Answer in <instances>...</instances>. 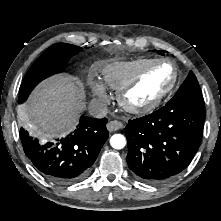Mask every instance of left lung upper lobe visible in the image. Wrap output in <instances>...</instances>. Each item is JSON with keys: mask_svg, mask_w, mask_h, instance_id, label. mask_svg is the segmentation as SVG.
I'll list each match as a JSON object with an SVG mask.
<instances>
[{"mask_svg": "<svg viewBox=\"0 0 221 221\" xmlns=\"http://www.w3.org/2000/svg\"><path fill=\"white\" fill-rule=\"evenodd\" d=\"M175 108H193L205 111L204 99L197 78L192 71L169 102Z\"/></svg>", "mask_w": 221, "mask_h": 221, "instance_id": "left-lung-upper-lobe-1", "label": "left lung upper lobe"}]
</instances>
